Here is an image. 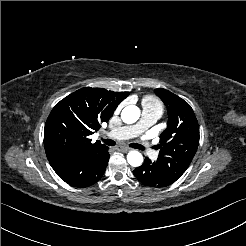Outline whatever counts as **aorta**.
I'll return each instance as SVG.
<instances>
[{
    "mask_svg": "<svg viewBox=\"0 0 246 246\" xmlns=\"http://www.w3.org/2000/svg\"><path fill=\"white\" fill-rule=\"evenodd\" d=\"M140 117V109L135 105L126 106L121 112V119L124 123L132 124ZM128 163L133 167H139L143 163V156L138 151H131L127 155Z\"/></svg>",
    "mask_w": 246,
    "mask_h": 246,
    "instance_id": "762f6f07",
    "label": "aorta"
}]
</instances>
